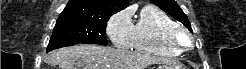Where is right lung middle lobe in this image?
<instances>
[{"label":"right lung middle lobe","mask_w":246,"mask_h":69,"mask_svg":"<svg viewBox=\"0 0 246 69\" xmlns=\"http://www.w3.org/2000/svg\"><path fill=\"white\" fill-rule=\"evenodd\" d=\"M108 19H61L57 20L47 52L78 43L107 45L105 30Z\"/></svg>","instance_id":"dd1d6c3e"}]
</instances>
